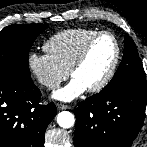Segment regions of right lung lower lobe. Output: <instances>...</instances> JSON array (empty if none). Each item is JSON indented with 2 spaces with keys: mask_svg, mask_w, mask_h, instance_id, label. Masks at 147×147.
Returning <instances> with one entry per match:
<instances>
[{
  "mask_svg": "<svg viewBox=\"0 0 147 147\" xmlns=\"http://www.w3.org/2000/svg\"><path fill=\"white\" fill-rule=\"evenodd\" d=\"M32 81L0 75V147H43L45 130L56 115L54 103L40 105Z\"/></svg>",
  "mask_w": 147,
  "mask_h": 147,
  "instance_id": "obj_1",
  "label": "right lung lower lobe"
}]
</instances>
